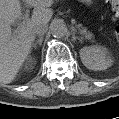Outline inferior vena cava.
<instances>
[{
  "label": "inferior vena cava",
  "instance_id": "obj_1",
  "mask_svg": "<svg viewBox=\"0 0 119 119\" xmlns=\"http://www.w3.org/2000/svg\"><path fill=\"white\" fill-rule=\"evenodd\" d=\"M48 30V26L47 24H39V25H36L34 28H33V33L35 35H43L47 32Z\"/></svg>",
  "mask_w": 119,
  "mask_h": 119
}]
</instances>
